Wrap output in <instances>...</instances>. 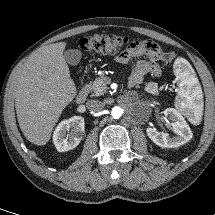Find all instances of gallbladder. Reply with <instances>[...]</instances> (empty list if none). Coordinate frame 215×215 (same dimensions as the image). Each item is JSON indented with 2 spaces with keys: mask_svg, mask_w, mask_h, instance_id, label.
<instances>
[{
  "mask_svg": "<svg viewBox=\"0 0 215 215\" xmlns=\"http://www.w3.org/2000/svg\"><path fill=\"white\" fill-rule=\"evenodd\" d=\"M81 51L78 49H69L64 52V58L70 65H77L81 60Z\"/></svg>",
  "mask_w": 215,
  "mask_h": 215,
  "instance_id": "1",
  "label": "gallbladder"
}]
</instances>
